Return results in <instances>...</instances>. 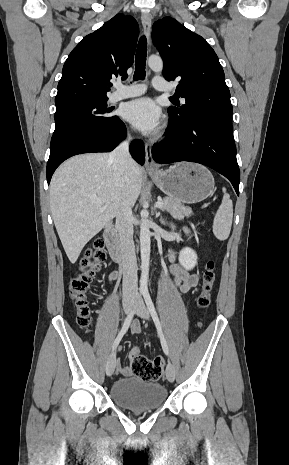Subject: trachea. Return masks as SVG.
<instances>
[{"label":"trachea","instance_id":"obj_1","mask_svg":"<svg viewBox=\"0 0 289 465\" xmlns=\"http://www.w3.org/2000/svg\"><path fill=\"white\" fill-rule=\"evenodd\" d=\"M146 56H147V40L145 36H142L139 39L136 56H135L134 80L145 78Z\"/></svg>","mask_w":289,"mask_h":465}]
</instances>
